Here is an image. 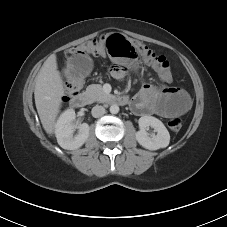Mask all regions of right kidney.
<instances>
[{"label":"right kidney","instance_id":"1","mask_svg":"<svg viewBox=\"0 0 227 227\" xmlns=\"http://www.w3.org/2000/svg\"><path fill=\"white\" fill-rule=\"evenodd\" d=\"M76 114L73 109L64 111L55 125V135L58 144L66 150H75L80 148L89 137V125L83 123L78 126L79 133L73 137L76 126L72 123Z\"/></svg>","mask_w":227,"mask_h":227}]
</instances>
